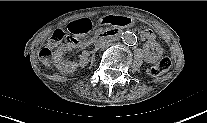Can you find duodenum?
Listing matches in <instances>:
<instances>
[{"instance_id":"410a0bca","label":"duodenum","mask_w":207,"mask_h":123,"mask_svg":"<svg viewBox=\"0 0 207 123\" xmlns=\"http://www.w3.org/2000/svg\"><path fill=\"white\" fill-rule=\"evenodd\" d=\"M119 35V31L117 29H109L103 33L98 34L94 41H104L111 38H114Z\"/></svg>"}]
</instances>
